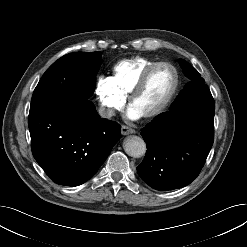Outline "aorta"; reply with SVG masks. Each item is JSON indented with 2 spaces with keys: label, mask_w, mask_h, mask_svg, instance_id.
I'll return each mask as SVG.
<instances>
[{
  "label": "aorta",
  "mask_w": 247,
  "mask_h": 247,
  "mask_svg": "<svg viewBox=\"0 0 247 247\" xmlns=\"http://www.w3.org/2000/svg\"><path fill=\"white\" fill-rule=\"evenodd\" d=\"M125 152L134 158L142 157L146 152V144L139 136H130L123 142Z\"/></svg>",
  "instance_id": "762f6f07"
}]
</instances>
